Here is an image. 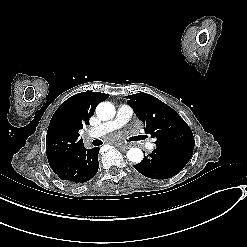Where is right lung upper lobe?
<instances>
[{
  "instance_id": "1",
  "label": "right lung upper lobe",
  "mask_w": 247,
  "mask_h": 247,
  "mask_svg": "<svg viewBox=\"0 0 247 247\" xmlns=\"http://www.w3.org/2000/svg\"><path fill=\"white\" fill-rule=\"evenodd\" d=\"M108 97L105 93L87 91L71 96L59 106L52 116L46 136L49 164L60 161L83 145L79 130L88 124L96 106Z\"/></svg>"
}]
</instances>
